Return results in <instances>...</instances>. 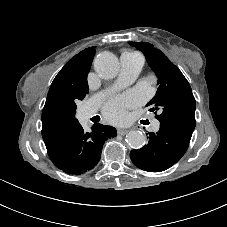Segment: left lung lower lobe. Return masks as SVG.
<instances>
[{"mask_svg": "<svg viewBox=\"0 0 227 227\" xmlns=\"http://www.w3.org/2000/svg\"><path fill=\"white\" fill-rule=\"evenodd\" d=\"M195 127L164 120L157 133H149L148 144L130 152L132 162L148 172H161L180 160L185 154Z\"/></svg>", "mask_w": 227, "mask_h": 227, "instance_id": "0a47b994", "label": "left lung lower lobe"}]
</instances>
